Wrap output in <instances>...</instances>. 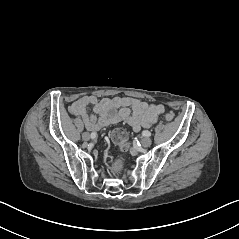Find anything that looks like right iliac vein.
Instances as JSON below:
<instances>
[{"instance_id":"63e3f726","label":"right iliac vein","mask_w":239,"mask_h":239,"mask_svg":"<svg viewBox=\"0 0 239 239\" xmlns=\"http://www.w3.org/2000/svg\"><path fill=\"white\" fill-rule=\"evenodd\" d=\"M82 139H83L84 141H89V140H90V134H89L88 132H84V133L82 134Z\"/></svg>"}]
</instances>
